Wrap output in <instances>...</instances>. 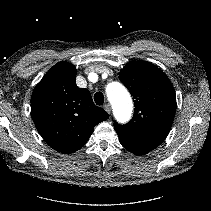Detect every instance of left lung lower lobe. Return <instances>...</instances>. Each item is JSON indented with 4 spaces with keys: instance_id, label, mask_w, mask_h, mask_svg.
Wrapping results in <instances>:
<instances>
[{
    "instance_id": "1",
    "label": "left lung lower lobe",
    "mask_w": 211,
    "mask_h": 211,
    "mask_svg": "<svg viewBox=\"0 0 211 211\" xmlns=\"http://www.w3.org/2000/svg\"><path fill=\"white\" fill-rule=\"evenodd\" d=\"M120 143L124 148H126L128 151H130L131 153H133L135 155H143V154H146L156 148L155 146L133 145V144L121 141V140H120Z\"/></svg>"
}]
</instances>
